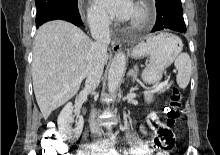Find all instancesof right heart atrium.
<instances>
[{
    "instance_id": "obj_1",
    "label": "right heart atrium",
    "mask_w": 220,
    "mask_h": 155,
    "mask_svg": "<svg viewBox=\"0 0 220 155\" xmlns=\"http://www.w3.org/2000/svg\"><path fill=\"white\" fill-rule=\"evenodd\" d=\"M86 17L89 25L95 29H106L110 24L108 16L92 4L87 7Z\"/></svg>"
}]
</instances>
